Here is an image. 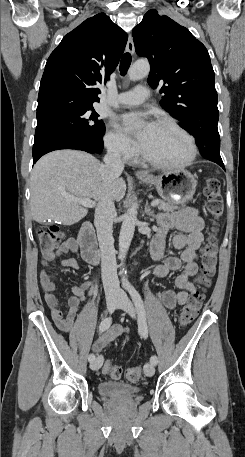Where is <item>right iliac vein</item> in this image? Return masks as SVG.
<instances>
[{
  "label": "right iliac vein",
  "instance_id": "1",
  "mask_svg": "<svg viewBox=\"0 0 245 457\" xmlns=\"http://www.w3.org/2000/svg\"><path fill=\"white\" fill-rule=\"evenodd\" d=\"M120 298L119 297H109L107 300V309L109 312H113L116 308V306L119 303ZM103 364V357L100 355L98 356L93 362L90 364V368L92 370H98Z\"/></svg>",
  "mask_w": 245,
  "mask_h": 457
}]
</instances>
